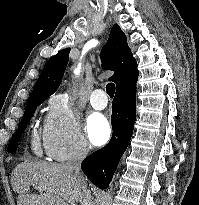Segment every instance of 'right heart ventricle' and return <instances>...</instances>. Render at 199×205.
Wrapping results in <instances>:
<instances>
[{
	"mask_svg": "<svg viewBox=\"0 0 199 205\" xmlns=\"http://www.w3.org/2000/svg\"><path fill=\"white\" fill-rule=\"evenodd\" d=\"M32 148L36 154H40L39 139L37 134L32 136Z\"/></svg>",
	"mask_w": 199,
	"mask_h": 205,
	"instance_id": "right-heart-ventricle-1",
	"label": "right heart ventricle"
}]
</instances>
